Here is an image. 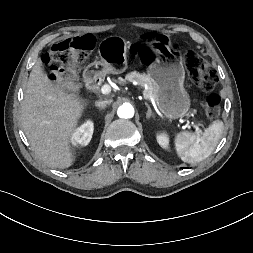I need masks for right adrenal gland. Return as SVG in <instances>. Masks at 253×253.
I'll list each match as a JSON object with an SVG mask.
<instances>
[{
	"instance_id": "2a0ac1e0",
	"label": "right adrenal gland",
	"mask_w": 253,
	"mask_h": 253,
	"mask_svg": "<svg viewBox=\"0 0 253 253\" xmlns=\"http://www.w3.org/2000/svg\"><path fill=\"white\" fill-rule=\"evenodd\" d=\"M95 107H97V108H98V109H100V110L105 109V107H104V106H98V105H96V104H95Z\"/></svg>"
}]
</instances>
